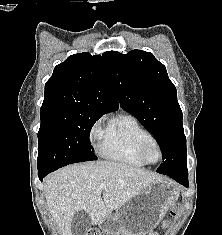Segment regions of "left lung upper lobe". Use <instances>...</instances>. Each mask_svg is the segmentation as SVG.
<instances>
[{"instance_id": "1", "label": "left lung upper lobe", "mask_w": 222, "mask_h": 235, "mask_svg": "<svg viewBox=\"0 0 222 235\" xmlns=\"http://www.w3.org/2000/svg\"><path fill=\"white\" fill-rule=\"evenodd\" d=\"M121 107L131 113L158 141L163 163L160 174L188 175L186 137L176 87L165 66L152 53L103 54Z\"/></svg>"}]
</instances>
